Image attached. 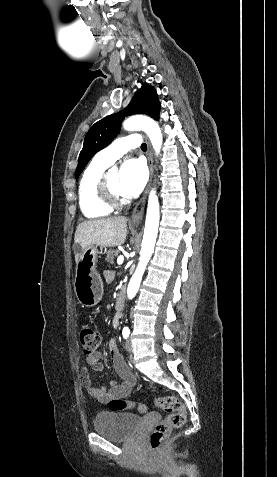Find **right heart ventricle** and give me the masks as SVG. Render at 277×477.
Instances as JSON below:
<instances>
[{"instance_id": "e07e8e85", "label": "right heart ventricle", "mask_w": 277, "mask_h": 477, "mask_svg": "<svg viewBox=\"0 0 277 477\" xmlns=\"http://www.w3.org/2000/svg\"><path fill=\"white\" fill-rule=\"evenodd\" d=\"M108 166L95 159L84 170L78 187L79 206L83 215L89 219L108 216L112 212L96 196V184Z\"/></svg>"}]
</instances>
